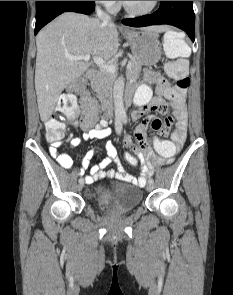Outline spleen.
<instances>
[{"mask_svg": "<svg viewBox=\"0 0 233 295\" xmlns=\"http://www.w3.org/2000/svg\"><path fill=\"white\" fill-rule=\"evenodd\" d=\"M163 48L165 54L170 57H188L191 54L190 47L182 40L175 38V34L168 32L164 37Z\"/></svg>", "mask_w": 233, "mask_h": 295, "instance_id": "obj_1", "label": "spleen"}]
</instances>
